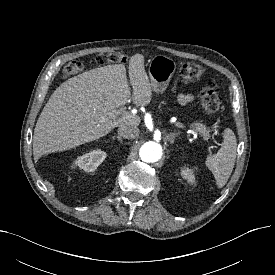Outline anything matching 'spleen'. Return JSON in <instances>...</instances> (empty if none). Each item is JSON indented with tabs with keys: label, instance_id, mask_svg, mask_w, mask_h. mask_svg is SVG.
<instances>
[{
	"label": "spleen",
	"instance_id": "obj_1",
	"mask_svg": "<svg viewBox=\"0 0 275 275\" xmlns=\"http://www.w3.org/2000/svg\"><path fill=\"white\" fill-rule=\"evenodd\" d=\"M237 141L234 132L226 128L223 133V143L216 154L207 157L205 164L213 173L216 185L223 187L235 165Z\"/></svg>",
	"mask_w": 275,
	"mask_h": 275
}]
</instances>
